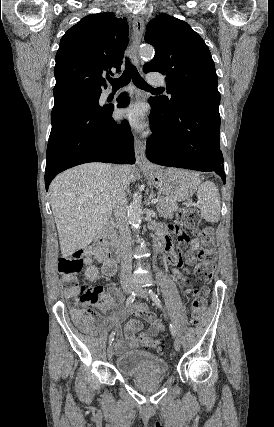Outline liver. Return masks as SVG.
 I'll return each instance as SVG.
<instances>
[{"label":"liver","mask_w":274,"mask_h":427,"mask_svg":"<svg viewBox=\"0 0 274 427\" xmlns=\"http://www.w3.org/2000/svg\"><path fill=\"white\" fill-rule=\"evenodd\" d=\"M116 168L98 162L82 164L62 172L51 182L50 204L63 257L93 241L112 214L118 184L124 182L127 190L133 180V166Z\"/></svg>","instance_id":"6515ba94"}]
</instances>
